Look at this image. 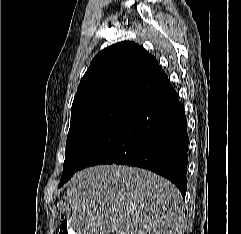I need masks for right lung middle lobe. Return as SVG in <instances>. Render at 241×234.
<instances>
[{
    "instance_id": "dd1d6c3e",
    "label": "right lung middle lobe",
    "mask_w": 241,
    "mask_h": 234,
    "mask_svg": "<svg viewBox=\"0 0 241 234\" xmlns=\"http://www.w3.org/2000/svg\"><path fill=\"white\" fill-rule=\"evenodd\" d=\"M136 104L110 101L71 112V125L66 142V157L59 187L80 170L90 150L111 131Z\"/></svg>"
}]
</instances>
